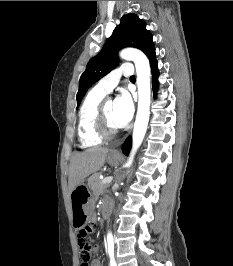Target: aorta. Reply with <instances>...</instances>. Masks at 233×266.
<instances>
[{"mask_svg": "<svg viewBox=\"0 0 233 266\" xmlns=\"http://www.w3.org/2000/svg\"><path fill=\"white\" fill-rule=\"evenodd\" d=\"M120 58L133 61L136 67L137 86H138V109L132 136V150L126 164L129 167L133 158L141 146L146 134L149 116H150V65L146 55L135 48H126L119 54ZM112 234L108 233V237Z\"/></svg>", "mask_w": 233, "mask_h": 266, "instance_id": "aorta-1", "label": "aorta"}]
</instances>
